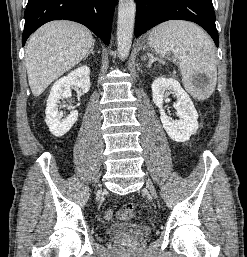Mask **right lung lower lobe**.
I'll return each instance as SVG.
<instances>
[{
	"instance_id": "obj_1",
	"label": "right lung lower lobe",
	"mask_w": 247,
	"mask_h": 257,
	"mask_svg": "<svg viewBox=\"0 0 247 257\" xmlns=\"http://www.w3.org/2000/svg\"><path fill=\"white\" fill-rule=\"evenodd\" d=\"M115 0H28L22 45L41 25L52 20H72L110 42Z\"/></svg>"
}]
</instances>
